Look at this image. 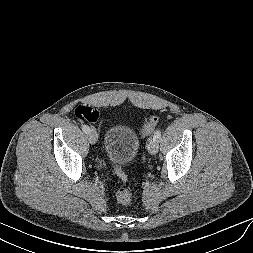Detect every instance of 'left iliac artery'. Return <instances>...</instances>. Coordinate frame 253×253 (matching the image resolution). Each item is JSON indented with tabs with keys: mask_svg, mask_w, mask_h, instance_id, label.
I'll return each instance as SVG.
<instances>
[{
	"mask_svg": "<svg viewBox=\"0 0 253 253\" xmlns=\"http://www.w3.org/2000/svg\"><path fill=\"white\" fill-rule=\"evenodd\" d=\"M154 138L157 139L159 141V139L161 138V131L160 130H157L155 133H154Z\"/></svg>",
	"mask_w": 253,
	"mask_h": 253,
	"instance_id": "left-iliac-artery-1",
	"label": "left iliac artery"
}]
</instances>
